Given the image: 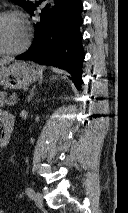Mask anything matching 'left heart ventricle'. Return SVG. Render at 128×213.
<instances>
[{
	"mask_svg": "<svg viewBox=\"0 0 128 213\" xmlns=\"http://www.w3.org/2000/svg\"><path fill=\"white\" fill-rule=\"evenodd\" d=\"M25 39V28L23 23L13 17L0 20V48L15 49Z\"/></svg>",
	"mask_w": 128,
	"mask_h": 213,
	"instance_id": "b2bd125f",
	"label": "left heart ventricle"
}]
</instances>
